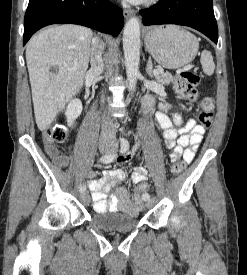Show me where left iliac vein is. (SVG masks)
Wrapping results in <instances>:
<instances>
[{"mask_svg": "<svg viewBox=\"0 0 247 275\" xmlns=\"http://www.w3.org/2000/svg\"><path fill=\"white\" fill-rule=\"evenodd\" d=\"M154 204H155V200L154 199L146 200V207L147 208L153 207Z\"/></svg>", "mask_w": 247, "mask_h": 275, "instance_id": "left-iliac-vein-1", "label": "left iliac vein"}]
</instances>
